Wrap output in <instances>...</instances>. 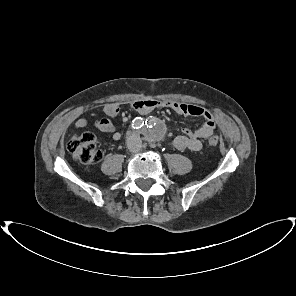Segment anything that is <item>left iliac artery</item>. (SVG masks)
Instances as JSON below:
<instances>
[{
	"instance_id": "1",
	"label": "left iliac artery",
	"mask_w": 296,
	"mask_h": 296,
	"mask_svg": "<svg viewBox=\"0 0 296 296\" xmlns=\"http://www.w3.org/2000/svg\"><path fill=\"white\" fill-rule=\"evenodd\" d=\"M146 125H147V127H148V125H149V122H148V124H147V121H146ZM150 127V126H149ZM152 127V126H151Z\"/></svg>"
}]
</instances>
